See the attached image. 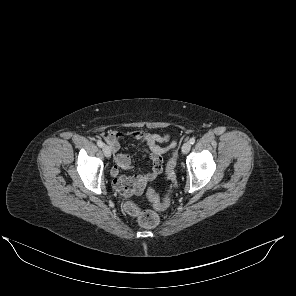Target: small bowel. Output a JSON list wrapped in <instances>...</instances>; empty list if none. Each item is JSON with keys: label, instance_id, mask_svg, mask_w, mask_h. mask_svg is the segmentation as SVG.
I'll return each mask as SVG.
<instances>
[{"label": "small bowel", "instance_id": "c3829d8e", "mask_svg": "<svg viewBox=\"0 0 296 296\" xmlns=\"http://www.w3.org/2000/svg\"><path fill=\"white\" fill-rule=\"evenodd\" d=\"M128 138L137 140L145 145L143 154L152 161L153 168L151 173H141L132 176H125L121 173L122 170L129 169L131 166L130 157L120 152V142ZM105 140L115 158V166L111 171L114 188L126 197H132L142 193L146 183L161 173L162 155L175 146V142H171L167 147L160 146L161 143L169 140V135L153 134L142 130L129 132L110 130L106 134Z\"/></svg>", "mask_w": 296, "mask_h": 296}]
</instances>
